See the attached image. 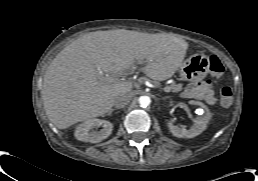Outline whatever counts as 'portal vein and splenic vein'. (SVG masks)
<instances>
[{"label": "portal vein and splenic vein", "mask_w": 258, "mask_h": 181, "mask_svg": "<svg viewBox=\"0 0 258 181\" xmlns=\"http://www.w3.org/2000/svg\"><path fill=\"white\" fill-rule=\"evenodd\" d=\"M165 92H170V89L168 87L163 88Z\"/></svg>", "instance_id": "obj_1"}]
</instances>
